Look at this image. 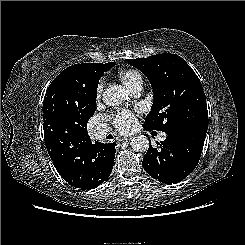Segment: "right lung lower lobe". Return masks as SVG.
Segmentation results:
<instances>
[{
	"label": "right lung lower lobe",
	"instance_id": "98d812e1",
	"mask_svg": "<svg viewBox=\"0 0 245 245\" xmlns=\"http://www.w3.org/2000/svg\"><path fill=\"white\" fill-rule=\"evenodd\" d=\"M51 160L61 177L80 189H94L110 175L114 166L115 143H92L89 135L69 140H45Z\"/></svg>",
	"mask_w": 245,
	"mask_h": 245
}]
</instances>
